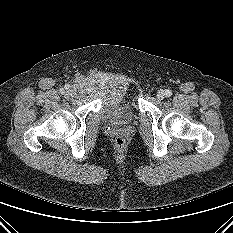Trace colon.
<instances>
[{
  "label": "colon",
  "instance_id": "colon-1",
  "mask_svg": "<svg viewBox=\"0 0 233 233\" xmlns=\"http://www.w3.org/2000/svg\"><path fill=\"white\" fill-rule=\"evenodd\" d=\"M115 147L119 150H122L126 146V141L122 137H117L114 141Z\"/></svg>",
  "mask_w": 233,
  "mask_h": 233
}]
</instances>
